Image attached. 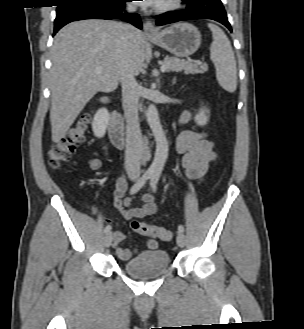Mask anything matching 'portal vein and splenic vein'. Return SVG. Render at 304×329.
Here are the masks:
<instances>
[{"mask_svg": "<svg viewBox=\"0 0 304 329\" xmlns=\"http://www.w3.org/2000/svg\"><path fill=\"white\" fill-rule=\"evenodd\" d=\"M167 68H168V67H167V64H163V65L161 66V71H162V72H165V71L167 70ZM96 71H97V72H101V69H100V68H97Z\"/></svg>", "mask_w": 304, "mask_h": 329, "instance_id": "18ae733b", "label": "portal vein and splenic vein"}]
</instances>
